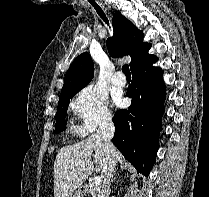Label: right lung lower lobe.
Returning a JSON list of instances; mask_svg holds the SVG:
<instances>
[{
  "label": "right lung lower lobe",
  "mask_w": 209,
  "mask_h": 197,
  "mask_svg": "<svg viewBox=\"0 0 209 197\" xmlns=\"http://www.w3.org/2000/svg\"><path fill=\"white\" fill-rule=\"evenodd\" d=\"M156 61L157 57L152 56L131 69L133 81L126 95L132 103L128 110H118L113 117L112 142L145 176L156 160L166 95L163 72L152 66Z\"/></svg>",
  "instance_id": "1"
}]
</instances>
